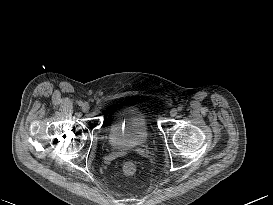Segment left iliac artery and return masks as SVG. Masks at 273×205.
<instances>
[{"label": "left iliac artery", "instance_id": "obj_1", "mask_svg": "<svg viewBox=\"0 0 273 205\" xmlns=\"http://www.w3.org/2000/svg\"><path fill=\"white\" fill-rule=\"evenodd\" d=\"M178 110H179V111H182V110H183V106L180 105V106L178 107Z\"/></svg>", "mask_w": 273, "mask_h": 205}]
</instances>
